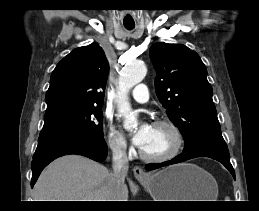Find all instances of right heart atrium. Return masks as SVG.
I'll return each mask as SVG.
<instances>
[{
    "mask_svg": "<svg viewBox=\"0 0 259 211\" xmlns=\"http://www.w3.org/2000/svg\"><path fill=\"white\" fill-rule=\"evenodd\" d=\"M107 144L115 156L124 157L127 154L128 145L125 137L111 125L107 128Z\"/></svg>",
    "mask_w": 259,
    "mask_h": 211,
    "instance_id": "obj_1",
    "label": "right heart atrium"
}]
</instances>
